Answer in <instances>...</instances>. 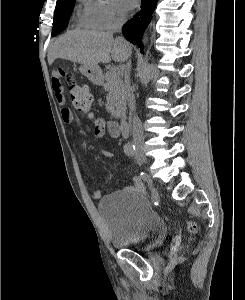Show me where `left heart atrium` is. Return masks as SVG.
I'll use <instances>...</instances> for the list:
<instances>
[{"label": "left heart atrium", "instance_id": "39dd6f15", "mask_svg": "<svg viewBox=\"0 0 245 300\" xmlns=\"http://www.w3.org/2000/svg\"><path fill=\"white\" fill-rule=\"evenodd\" d=\"M126 9H133L137 6L138 0H120Z\"/></svg>", "mask_w": 245, "mask_h": 300}]
</instances>
